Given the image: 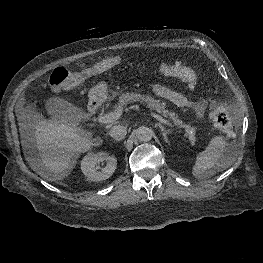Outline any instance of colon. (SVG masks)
I'll return each mask as SVG.
<instances>
[{
    "label": "colon",
    "mask_w": 263,
    "mask_h": 263,
    "mask_svg": "<svg viewBox=\"0 0 263 263\" xmlns=\"http://www.w3.org/2000/svg\"><path fill=\"white\" fill-rule=\"evenodd\" d=\"M125 63V59L120 56L107 57L86 67L78 72H71L64 68H57L50 76V85L54 91H60L66 88L75 87L85 80L102 74L114 67ZM157 73L166 77H177L188 84L190 88H194L197 84V76L195 72L180 62L171 64H161L157 68ZM210 119L213 125L220 130L226 139L234 136L232 120L228 112L221 106H214Z\"/></svg>",
    "instance_id": "obj_1"
}]
</instances>
